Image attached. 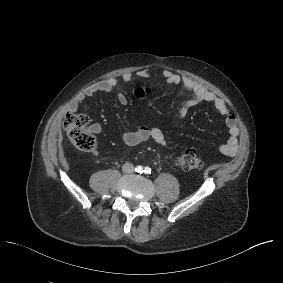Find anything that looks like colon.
Listing matches in <instances>:
<instances>
[{
  "instance_id": "obj_1",
  "label": "colon",
  "mask_w": 283,
  "mask_h": 283,
  "mask_svg": "<svg viewBox=\"0 0 283 283\" xmlns=\"http://www.w3.org/2000/svg\"><path fill=\"white\" fill-rule=\"evenodd\" d=\"M148 93L146 89H137L136 95L143 97ZM88 119L85 114L67 112L64 117V128L71 142L80 150L91 151L95 147V138L87 130ZM179 168L185 171L198 170L203 166L200 155L194 149H186L176 159Z\"/></svg>"
}]
</instances>
